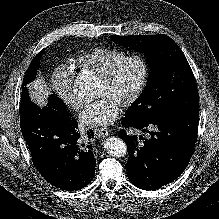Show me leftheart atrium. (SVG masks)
<instances>
[{"mask_svg": "<svg viewBox=\"0 0 219 219\" xmlns=\"http://www.w3.org/2000/svg\"><path fill=\"white\" fill-rule=\"evenodd\" d=\"M122 104L111 96H102L97 101L87 105L79 119L84 126L104 127L115 121L121 112Z\"/></svg>", "mask_w": 219, "mask_h": 219, "instance_id": "39dd6f15", "label": "left heart atrium"}]
</instances>
